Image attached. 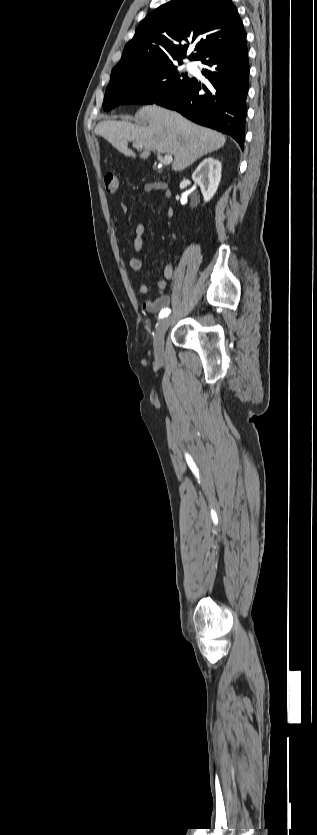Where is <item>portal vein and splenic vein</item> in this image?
<instances>
[{
    "label": "portal vein and splenic vein",
    "mask_w": 317,
    "mask_h": 835,
    "mask_svg": "<svg viewBox=\"0 0 317 835\" xmlns=\"http://www.w3.org/2000/svg\"><path fill=\"white\" fill-rule=\"evenodd\" d=\"M133 144L135 145V143H133ZM157 158H158V159L160 160V162H161V163H163V164H170V163L172 162V160H173V157H172V155H170V154H166L164 157H162L160 154H158V157H157Z\"/></svg>",
    "instance_id": "obj_1"
}]
</instances>
